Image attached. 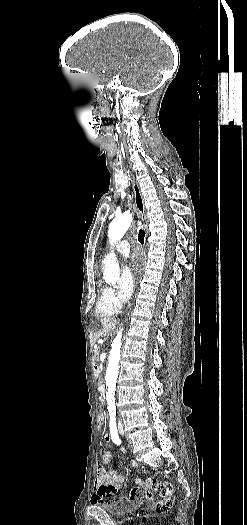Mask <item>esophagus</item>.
<instances>
[{
	"label": "esophagus",
	"mask_w": 247,
	"mask_h": 525,
	"mask_svg": "<svg viewBox=\"0 0 247 525\" xmlns=\"http://www.w3.org/2000/svg\"><path fill=\"white\" fill-rule=\"evenodd\" d=\"M132 188H133V191H134V201H135L136 208L138 209V212L141 215V218H142V220L144 222L145 229H147V220H146L147 214H146V210H145L143 196L141 194V190L139 188L138 183L133 181Z\"/></svg>",
	"instance_id": "34e87169"
}]
</instances>
